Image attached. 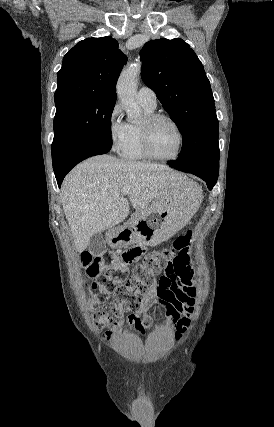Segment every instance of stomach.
<instances>
[{"label": "stomach", "instance_id": "stomach-1", "mask_svg": "<svg viewBox=\"0 0 274 427\" xmlns=\"http://www.w3.org/2000/svg\"><path fill=\"white\" fill-rule=\"evenodd\" d=\"M170 190L172 194L160 198L159 192L156 202L147 210L133 214L123 225L107 231L106 239L110 247L117 249L132 243L157 245L178 231L176 217H182L187 223L199 208L198 186L187 178H173Z\"/></svg>", "mask_w": 274, "mask_h": 427}]
</instances>
